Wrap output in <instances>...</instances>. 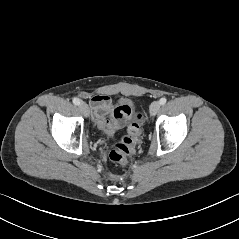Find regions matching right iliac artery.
<instances>
[{
    "mask_svg": "<svg viewBox=\"0 0 239 239\" xmlns=\"http://www.w3.org/2000/svg\"><path fill=\"white\" fill-rule=\"evenodd\" d=\"M73 103H74L75 105H79V104H80V100H79L78 98H74V99H73Z\"/></svg>",
    "mask_w": 239,
    "mask_h": 239,
    "instance_id": "obj_1",
    "label": "right iliac artery"
}]
</instances>
